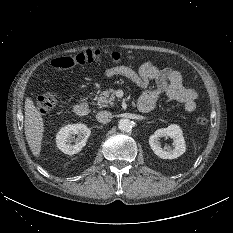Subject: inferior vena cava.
I'll return each instance as SVG.
<instances>
[{
    "instance_id": "602c4592",
    "label": "inferior vena cava",
    "mask_w": 233,
    "mask_h": 233,
    "mask_svg": "<svg viewBox=\"0 0 233 233\" xmlns=\"http://www.w3.org/2000/svg\"><path fill=\"white\" fill-rule=\"evenodd\" d=\"M112 113L109 111H100L96 114V119L100 123H108L112 119Z\"/></svg>"
}]
</instances>
